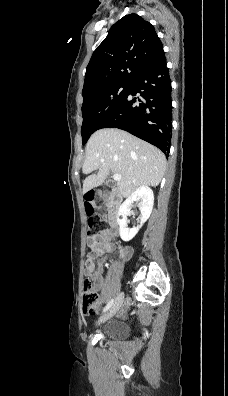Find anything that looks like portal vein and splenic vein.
I'll return each mask as SVG.
<instances>
[{
	"mask_svg": "<svg viewBox=\"0 0 228 396\" xmlns=\"http://www.w3.org/2000/svg\"><path fill=\"white\" fill-rule=\"evenodd\" d=\"M113 179H114L115 181H120V180L122 179V177H121V175H119V174H114V175H113Z\"/></svg>",
	"mask_w": 228,
	"mask_h": 396,
	"instance_id": "portal-vein-and-splenic-vein-1",
	"label": "portal vein and splenic vein"
}]
</instances>
